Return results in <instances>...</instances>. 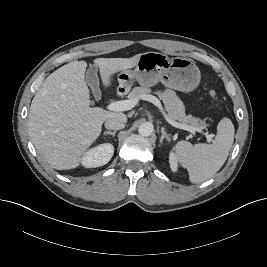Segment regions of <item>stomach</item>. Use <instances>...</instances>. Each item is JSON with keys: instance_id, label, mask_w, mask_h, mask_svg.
Listing matches in <instances>:
<instances>
[{"instance_id": "obj_1", "label": "stomach", "mask_w": 267, "mask_h": 267, "mask_svg": "<svg viewBox=\"0 0 267 267\" xmlns=\"http://www.w3.org/2000/svg\"><path fill=\"white\" fill-rule=\"evenodd\" d=\"M134 80L142 87L149 88L161 82L168 88L190 92L199 85L200 71L191 59L145 52L139 54L134 70H123L118 74L119 89L128 92Z\"/></svg>"}]
</instances>
